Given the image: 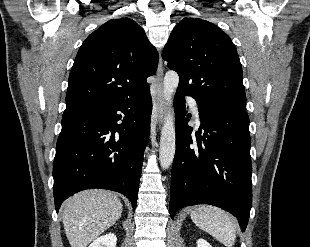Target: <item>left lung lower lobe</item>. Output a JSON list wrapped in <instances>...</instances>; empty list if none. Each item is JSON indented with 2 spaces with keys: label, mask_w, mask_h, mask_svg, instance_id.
<instances>
[{
  "label": "left lung lower lobe",
  "mask_w": 310,
  "mask_h": 247,
  "mask_svg": "<svg viewBox=\"0 0 310 247\" xmlns=\"http://www.w3.org/2000/svg\"><path fill=\"white\" fill-rule=\"evenodd\" d=\"M185 95L177 91L174 98L176 152L171 175V218L183 207L211 204L236 216L245 231L252 206L248 115L197 102L201 126L195 140L185 117Z\"/></svg>",
  "instance_id": "0a47b994"
}]
</instances>
